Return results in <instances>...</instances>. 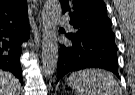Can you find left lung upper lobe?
<instances>
[{"label":"left lung upper lobe","mask_w":135,"mask_h":95,"mask_svg":"<svg viewBox=\"0 0 135 95\" xmlns=\"http://www.w3.org/2000/svg\"><path fill=\"white\" fill-rule=\"evenodd\" d=\"M63 13L70 16V24L77 30L73 36L101 34L114 36L111 21L103 0H60Z\"/></svg>","instance_id":"5c2ea615"}]
</instances>
